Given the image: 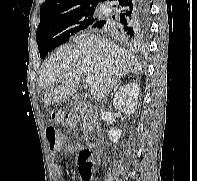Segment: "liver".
Here are the masks:
<instances>
[{"instance_id":"1","label":"liver","mask_w":197,"mask_h":181,"mask_svg":"<svg viewBox=\"0 0 197 181\" xmlns=\"http://www.w3.org/2000/svg\"><path fill=\"white\" fill-rule=\"evenodd\" d=\"M141 69L137 59L125 49L99 35L82 33L74 43L59 47L44 63L39 87L56 83L44 95V105L57 104L79 87L82 75H93L91 95L101 99L121 77Z\"/></svg>"}]
</instances>
